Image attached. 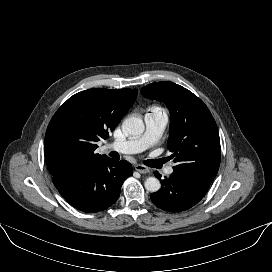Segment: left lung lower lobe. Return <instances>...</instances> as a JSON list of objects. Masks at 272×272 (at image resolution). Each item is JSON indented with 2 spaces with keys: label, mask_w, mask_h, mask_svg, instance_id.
Wrapping results in <instances>:
<instances>
[{
  "label": "left lung lower lobe",
  "mask_w": 272,
  "mask_h": 272,
  "mask_svg": "<svg viewBox=\"0 0 272 272\" xmlns=\"http://www.w3.org/2000/svg\"><path fill=\"white\" fill-rule=\"evenodd\" d=\"M155 176L161 175L155 171ZM161 189L151 195L152 202L168 212H182L196 205L206 194L211 182L174 170L169 177L160 180Z\"/></svg>",
  "instance_id": "0a47b994"
}]
</instances>
